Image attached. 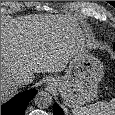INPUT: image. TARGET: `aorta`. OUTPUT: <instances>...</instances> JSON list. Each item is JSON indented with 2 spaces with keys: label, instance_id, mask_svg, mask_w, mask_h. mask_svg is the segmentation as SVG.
I'll return each mask as SVG.
<instances>
[{
  "label": "aorta",
  "instance_id": "1",
  "mask_svg": "<svg viewBox=\"0 0 115 115\" xmlns=\"http://www.w3.org/2000/svg\"><path fill=\"white\" fill-rule=\"evenodd\" d=\"M52 96L46 91L38 92L34 97V102L39 108H47L52 104Z\"/></svg>",
  "mask_w": 115,
  "mask_h": 115
}]
</instances>
